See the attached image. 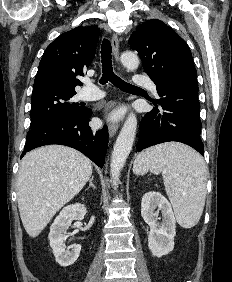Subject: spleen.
<instances>
[{
	"mask_svg": "<svg viewBox=\"0 0 232 282\" xmlns=\"http://www.w3.org/2000/svg\"><path fill=\"white\" fill-rule=\"evenodd\" d=\"M163 173L164 185L177 222L184 228L195 226L201 218L206 198L207 168L193 149L166 143L141 152L134 162L136 174Z\"/></svg>",
	"mask_w": 232,
	"mask_h": 282,
	"instance_id": "3e777b00",
	"label": "spleen"
}]
</instances>
